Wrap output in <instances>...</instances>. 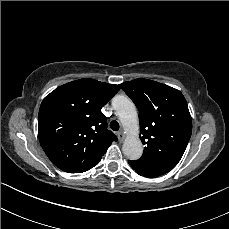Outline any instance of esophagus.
Wrapping results in <instances>:
<instances>
[{
  "mask_svg": "<svg viewBox=\"0 0 229 229\" xmlns=\"http://www.w3.org/2000/svg\"><path fill=\"white\" fill-rule=\"evenodd\" d=\"M117 136L120 142H122L125 139V134L122 130L118 131Z\"/></svg>",
  "mask_w": 229,
  "mask_h": 229,
  "instance_id": "esophagus-1",
  "label": "esophagus"
}]
</instances>
